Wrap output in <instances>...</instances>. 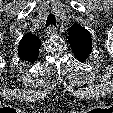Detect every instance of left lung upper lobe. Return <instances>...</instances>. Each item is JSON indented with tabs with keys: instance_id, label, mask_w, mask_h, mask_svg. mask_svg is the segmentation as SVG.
I'll return each instance as SVG.
<instances>
[{
	"instance_id": "obj_1",
	"label": "left lung upper lobe",
	"mask_w": 113,
	"mask_h": 113,
	"mask_svg": "<svg viewBox=\"0 0 113 113\" xmlns=\"http://www.w3.org/2000/svg\"><path fill=\"white\" fill-rule=\"evenodd\" d=\"M68 42L75 57L81 62L92 52L91 34L79 24L69 28Z\"/></svg>"
}]
</instances>
